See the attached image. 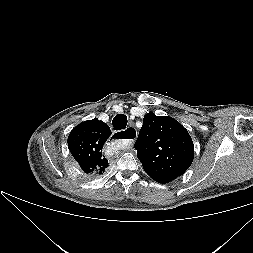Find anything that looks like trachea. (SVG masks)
I'll list each match as a JSON object with an SVG mask.
<instances>
[{
  "label": "trachea",
  "mask_w": 253,
  "mask_h": 253,
  "mask_svg": "<svg viewBox=\"0 0 253 253\" xmlns=\"http://www.w3.org/2000/svg\"><path fill=\"white\" fill-rule=\"evenodd\" d=\"M112 125L114 130H122L125 129L127 125V117L124 114H118L112 121Z\"/></svg>",
  "instance_id": "1"
}]
</instances>
